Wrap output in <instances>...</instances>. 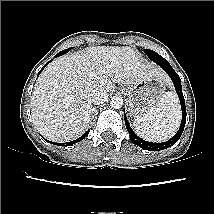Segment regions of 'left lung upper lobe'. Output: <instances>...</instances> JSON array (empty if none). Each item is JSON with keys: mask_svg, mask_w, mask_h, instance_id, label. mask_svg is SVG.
Returning <instances> with one entry per match:
<instances>
[{"mask_svg": "<svg viewBox=\"0 0 214 214\" xmlns=\"http://www.w3.org/2000/svg\"><path fill=\"white\" fill-rule=\"evenodd\" d=\"M144 52L153 62H155L156 64H158L160 66L165 65V64H169L167 60H165L162 56H160L155 51L145 49Z\"/></svg>", "mask_w": 214, "mask_h": 214, "instance_id": "1", "label": "left lung upper lobe"}]
</instances>
